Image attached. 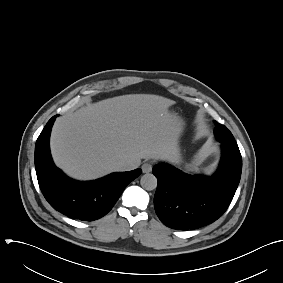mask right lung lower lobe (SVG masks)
Listing matches in <instances>:
<instances>
[{
	"mask_svg": "<svg viewBox=\"0 0 283 283\" xmlns=\"http://www.w3.org/2000/svg\"><path fill=\"white\" fill-rule=\"evenodd\" d=\"M57 116L48 121L36 141L34 160L40 189L48 203L62 214L82 221L97 220L112 209L141 169L115 172L89 182L70 179L54 165L50 154L49 137Z\"/></svg>",
	"mask_w": 283,
	"mask_h": 283,
	"instance_id": "obj_1",
	"label": "right lung lower lobe"
}]
</instances>
